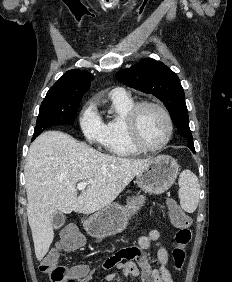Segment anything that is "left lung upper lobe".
<instances>
[{"instance_id":"left-lung-upper-lobe-1","label":"left lung upper lobe","mask_w":232,"mask_h":282,"mask_svg":"<svg viewBox=\"0 0 232 282\" xmlns=\"http://www.w3.org/2000/svg\"><path fill=\"white\" fill-rule=\"evenodd\" d=\"M115 77L121 83L152 94L161 100L181 136L189 140L188 147L194 146L188 125L184 89L178 76L169 67L162 62L147 58L130 68L117 72Z\"/></svg>"}]
</instances>
